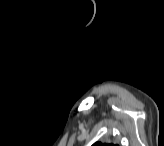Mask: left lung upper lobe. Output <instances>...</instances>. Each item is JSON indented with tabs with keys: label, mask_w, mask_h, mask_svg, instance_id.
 <instances>
[{
	"label": "left lung upper lobe",
	"mask_w": 164,
	"mask_h": 146,
	"mask_svg": "<svg viewBox=\"0 0 164 146\" xmlns=\"http://www.w3.org/2000/svg\"><path fill=\"white\" fill-rule=\"evenodd\" d=\"M93 146H106V144H101L99 142H96V143L93 144Z\"/></svg>",
	"instance_id": "obj_1"
}]
</instances>
